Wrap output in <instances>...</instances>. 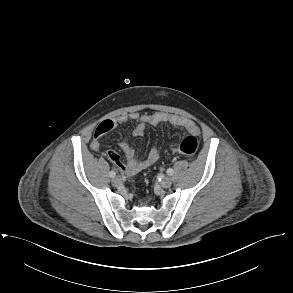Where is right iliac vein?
I'll return each mask as SVG.
<instances>
[{"instance_id": "right-iliac-vein-1", "label": "right iliac vein", "mask_w": 293, "mask_h": 293, "mask_svg": "<svg viewBox=\"0 0 293 293\" xmlns=\"http://www.w3.org/2000/svg\"><path fill=\"white\" fill-rule=\"evenodd\" d=\"M121 182H122V179H121L119 176L115 177V178L112 180V184H113L114 186H119V185L121 184Z\"/></svg>"}]
</instances>
